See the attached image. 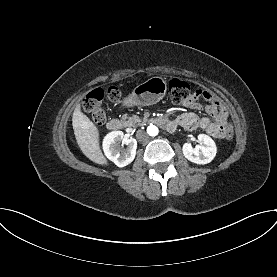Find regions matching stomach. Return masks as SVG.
<instances>
[{"label":"stomach","instance_id":"1","mask_svg":"<svg viewBox=\"0 0 277 277\" xmlns=\"http://www.w3.org/2000/svg\"><path fill=\"white\" fill-rule=\"evenodd\" d=\"M166 91L167 83L162 77H151L134 88L125 98L124 105L127 107L153 105L165 96Z\"/></svg>","mask_w":277,"mask_h":277}]
</instances>
